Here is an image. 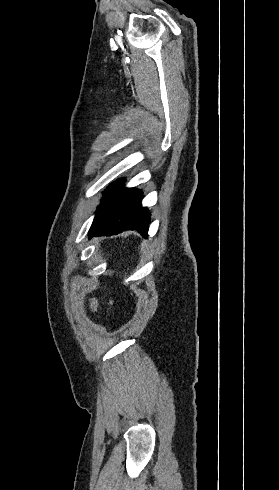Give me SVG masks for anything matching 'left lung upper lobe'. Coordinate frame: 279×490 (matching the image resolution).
<instances>
[{"instance_id":"left-lung-upper-lobe-1","label":"left lung upper lobe","mask_w":279,"mask_h":490,"mask_svg":"<svg viewBox=\"0 0 279 490\" xmlns=\"http://www.w3.org/2000/svg\"><path fill=\"white\" fill-rule=\"evenodd\" d=\"M122 181L123 180H120L118 183L112 184L109 187V189L103 193L104 198L102 199L101 206L98 207L92 225L102 220L106 215H108L114 209L117 196L121 190Z\"/></svg>"}]
</instances>
